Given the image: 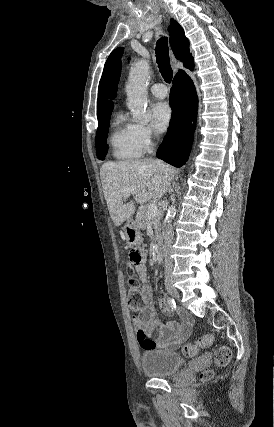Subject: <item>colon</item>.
<instances>
[{
  "label": "colon",
  "instance_id": "5ec220e1",
  "mask_svg": "<svg viewBox=\"0 0 274 427\" xmlns=\"http://www.w3.org/2000/svg\"><path fill=\"white\" fill-rule=\"evenodd\" d=\"M144 257V248L136 247L130 253V259L133 263H138ZM129 284V296H128V308L132 311L139 308L142 304L143 295L142 289L138 285V281L135 277H130L128 280ZM213 335L211 333H203L198 336L194 341L186 343L183 346V355L187 358L196 354L200 349H207L212 345ZM232 359L231 349L227 346H219L215 352V363L218 366L229 365Z\"/></svg>",
  "mask_w": 274,
  "mask_h": 427
}]
</instances>
